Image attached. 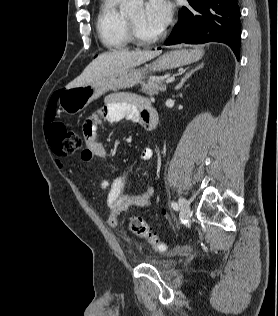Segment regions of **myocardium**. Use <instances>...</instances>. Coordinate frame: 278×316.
<instances>
[{"mask_svg": "<svg viewBox=\"0 0 278 316\" xmlns=\"http://www.w3.org/2000/svg\"><path fill=\"white\" fill-rule=\"evenodd\" d=\"M126 25L131 41L138 45H150L156 43L157 41L161 40L165 35V31L162 30L152 37H145L139 32L137 26L129 17H126Z\"/></svg>", "mask_w": 278, "mask_h": 316, "instance_id": "1", "label": "myocardium"}]
</instances>
